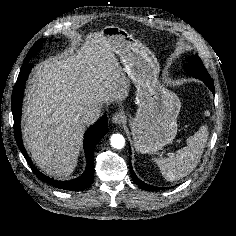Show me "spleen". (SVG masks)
Here are the masks:
<instances>
[{
	"label": "spleen",
	"mask_w": 236,
	"mask_h": 236,
	"mask_svg": "<svg viewBox=\"0 0 236 236\" xmlns=\"http://www.w3.org/2000/svg\"><path fill=\"white\" fill-rule=\"evenodd\" d=\"M208 139V130L202 126L187 139V146L179 149L174 156L155 159L167 181L179 180L191 173L198 165Z\"/></svg>",
	"instance_id": "1"
}]
</instances>
